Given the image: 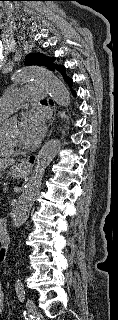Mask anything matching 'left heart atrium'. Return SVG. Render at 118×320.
Listing matches in <instances>:
<instances>
[{
    "label": "left heart atrium",
    "mask_w": 118,
    "mask_h": 320,
    "mask_svg": "<svg viewBox=\"0 0 118 320\" xmlns=\"http://www.w3.org/2000/svg\"><path fill=\"white\" fill-rule=\"evenodd\" d=\"M45 121L41 112L33 110L24 113L19 125V138L27 145L38 144L45 134Z\"/></svg>",
    "instance_id": "obj_1"
}]
</instances>
